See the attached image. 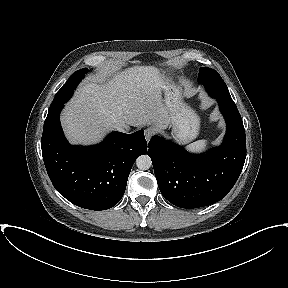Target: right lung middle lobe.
<instances>
[{
  "label": "right lung middle lobe",
  "mask_w": 288,
  "mask_h": 288,
  "mask_svg": "<svg viewBox=\"0 0 288 288\" xmlns=\"http://www.w3.org/2000/svg\"><path fill=\"white\" fill-rule=\"evenodd\" d=\"M88 69L83 68L81 70L76 71L73 73L67 82L61 87V89L56 93L49 111L58 107L62 106L64 103H66L70 97L72 96L77 84L81 81V79L84 77L85 73H87Z\"/></svg>",
  "instance_id": "obj_1"
}]
</instances>
